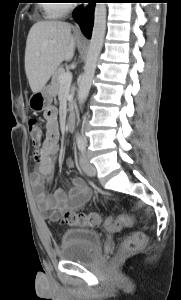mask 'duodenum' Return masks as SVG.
<instances>
[{"label":"duodenum","instance_id":"1","mask_svg":"<svg viewBox=\"0 0 181 300\" xmlns=\"http://www.w3.org/2000/svg\"><path fill=\"white\" fill-rule=\"evenodd\" d=\"M75 124H76L75 113L71 109H69L67 119H66V127L68 131L70 132L73 131L75 129Z\"/></svg>","mask_w":181,"mask_h":300}]
</instances>
